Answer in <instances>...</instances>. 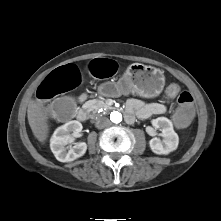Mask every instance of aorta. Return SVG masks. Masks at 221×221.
I'll list each match as a JSON object with an SVG mask.
<instances>
[{
  "mask_svg": "<svg viewBox=\"0 0 221 221\" xmlns=\"http://www.w3.org/2000/svg\"><path fill=\"white\" fill-rule=\"evenodd\" d=\"M110 119L113 123H120L122 121V114L118 111H113L110 114Z\"/></svg>",
  "mask_w": 221,
  "mask_h": 221,
  "instance_id": "1",
  "label": "aorta"
}]
</instances>
